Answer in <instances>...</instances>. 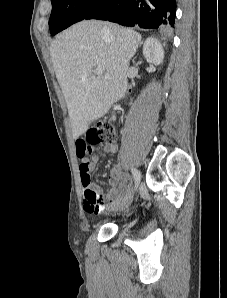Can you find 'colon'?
<instances>
[{
	"instance_id": "colon-1",
	"label": "colon",
	"mask_w": 227,
	"mask_h": 298,
	"mask_svg": "<svg viewBox=\"0 0 227 298\" xmlns=\"http://www.w3.org/2000/svg\"><path fill=\"white\" fill-rule=\"evenodd\" d=\"M85 139H87L89 146L112 144L116 140L115 129L111 124L101 122L88 130ZM88 180V177H85L84 183H87ZM88 196L91 201H95V196L93 194L88 193Z\"/></svg>"
}]
</instances>
